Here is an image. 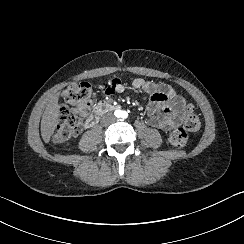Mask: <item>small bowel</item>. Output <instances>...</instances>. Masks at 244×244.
I'll return each instance as SVG.
<instances>
[{
    "mask_svg": "<svg viewBox=\"0 0 244 244\" xmlns=\"http://www.w3.org/2000/svg\"><path fill=\"white\" fill-rule=\"evenodd\" d=\"M132 87L150 95L146 109V122L150 127L168 131L179 125L183 99L170 85L136 78L132 81ZM125 90L126 84L119 78L101 85L103 95L123 93Z\"/></svg>",
    "mask_w": 244,
    "mask_h": 244,
    "instance_id": "1",
    "label": "small bowel"
}]
</instances>
